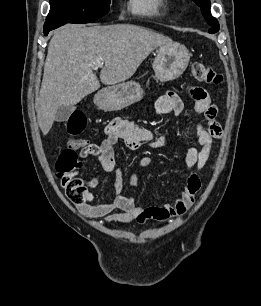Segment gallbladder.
I'll use <instances>...</instances> for the list:
<instances>
[{
    "mask_svg": "<svg viewBox=\"0 0 261 306\" xmlns=\"http://www.w3.org/2000/svg\"><path fill=\"white\" fill-rule=\"evenodd\" d=\"M74 109L75 107L73 105L59 107L55 117L56 121L58 122L67 121L71 113L74 111Z\"/></svg>",
    "mask_w": 261,
    "mask_h": 306,
    "instance_id": "gallbladder-1",
    "label": "gallbladder"
}]
</instances>
